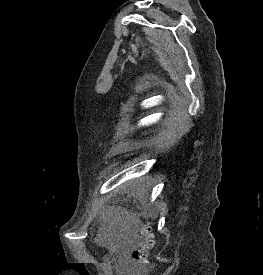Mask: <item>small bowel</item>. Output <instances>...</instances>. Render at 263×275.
I'll return each instance as SVG.
<instances>
[{"mask_svg":"<svg viewBox=\"0 0 263 275\" xmlns=\"http://www.w3.org/2000/svg\"><path fill=\"white\" fill-rule=\"evenodd\" d=\"M125 267H126V263H125V262H122V264H121L122 273H123Z\"/></svg>","mask_w":263,"mask_h":275,"instance_id":"1","label":"small bowel"}]
</instances>
